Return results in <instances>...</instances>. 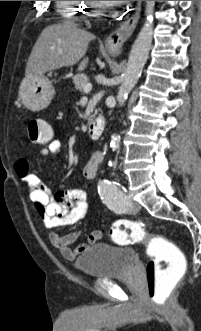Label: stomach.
<instances>
[{"label":"stomach","instance_id":"0dacf381","mask_svg":"<svg viewBox=\"0 0 201 331\" xmlns=\"http://www.w3.org/2000/svg\"><path fill=\"white\" fill-rule=\"evenodd\" d=\"M54 95L52 82L44 75L25 78L19 88L21 102L31 111L47 108Z\"/></svg>","mask_w":201,"mask_h":331}]
</instances>
